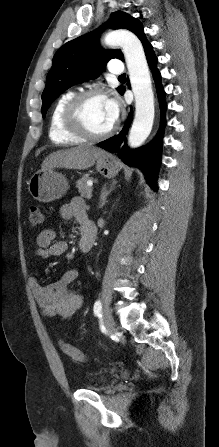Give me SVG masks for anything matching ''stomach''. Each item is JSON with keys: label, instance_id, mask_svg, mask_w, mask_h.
<instances>
[{"label": "stomach", "instance_id": "obj_1", "mask_svg": "<svg viewBox=\"0 0 219 447\" xmlns=\"http://www.w3.org/2000/svg\"><path fill=\"white\" fill-rule=\"evenodd\" d=\"M96 169L106 178H113L119 172V163L114 156L104 153L96 160ZM69 183L64 175L52 169H41L28 182L31 196L40 202H52L64 196Z\"/></svg>", "mask_w": 219, "mask_h": 447}]
</instances>
